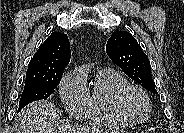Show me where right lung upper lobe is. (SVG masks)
<instances>
[{
  "instance_id": "right-lung-upper-lobe-1",
  "label": "right lung upper lobe",
  "mask_w": 184,
  "mask_h": 133,
  "mask_svg": "<svg viewBox=\"0 0 184 133\" xmlns=\"http://www.w3.org/2000/svg\"><path fill=\"white\" fill-rule=\"evenodd\" d=\"M70 57L67 35L61 32L51 33L29 62L25 82H46L54 77H62Z\"/></svg>"
}]
</instances>
